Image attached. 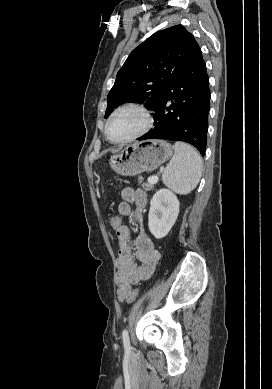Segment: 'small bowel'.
<instances>
[{
  "label": "small bowel",
  "mask_w": 272,
  "mask_h": 389,
  "mask_svg": "<svg viewBox=\"0 0 272 389\" xmlns=\"http://www.w3.org/2000/svg\"><path fill=\"white\" fill-rule=\"evenodd\" d=\"M121 196L123 201L118 206L119 215L131 217L139 226L133 244L130 241L131 228L129 226L122 225L116 231L119 244L116 285L118 298L123 301L133 285L151 277L160 259V253L143 228V210L147 204V194L140 189L125 187L121 191ZM131 205L135 206L134 210ZM136 260L141 264L138 265Z\"/></svg>",
  "instance_id": "c3829d8e"
}]
</instances>
